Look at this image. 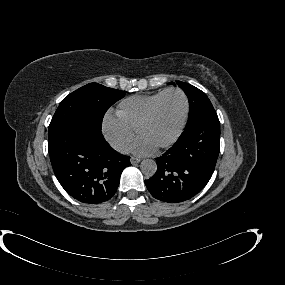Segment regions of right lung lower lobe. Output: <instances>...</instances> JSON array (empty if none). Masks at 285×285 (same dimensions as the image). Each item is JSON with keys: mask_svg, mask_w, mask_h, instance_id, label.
<instances>
[{"mask_svg": "<svg viewBox=\"0 0 285 285\" xmlns=\"http://www.w3.org/2000/svg\"><path fill=\"white\" fill-rule=\"evenodd\" d=\"M56 178L73 198L88 204L109 200L116 192L130 157L104 140L101 129L85 123L67 124L48 137Z\"/></svg>", "mask_w": 285, "mask_h": 285, "instance_id": "right-lung-lower-lobe-1", "label": "right lung lower lobe"}]
</instances>
